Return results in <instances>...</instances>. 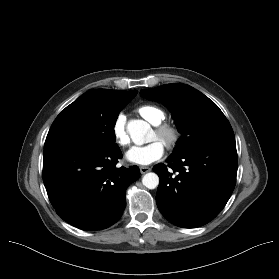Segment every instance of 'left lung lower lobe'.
<instances>
[{
    "mask_svg": "<svg viewBox=\"0 0 279 279\" xmlns=\"http://www.w3.org/2000/svg\"><path fill=\"white\" fill-rule=\"evenodd\" d=\"M168 165L153 171L160 183L156 203L161 214L182 228L200 227L215 218L229 200L237 175L235 143L196 147L184 155H171Z\"/></svg>",
    "mask_w": 279,
    "mask_h": 279,
    "instance_id": "0a47b994",
    "label": "left lung lower lobe"
}]
</instances>
